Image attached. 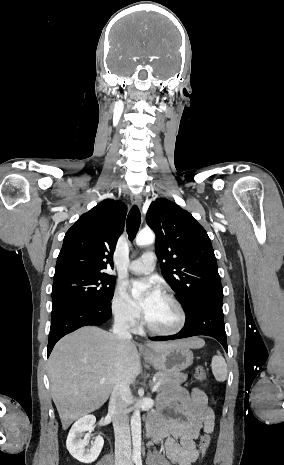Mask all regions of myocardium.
Returning <instances> with one entry per match:
<instances>
[{
    "instance_id": "myocardium-1",
    "label": "myocardium",
    "mask_w": 284,
    "mask_h": 465,
    "mask_svg": "<svg viewBox=\"0 0 284 465\" xmlns=\"http://www.w3.org/2000/svg\"><path fill=\"white\" fill-rule=\"evenodd\" d=\"M159 295L165 297L173 305V307L176 309L177 314H178V323H177V325L173 329L167 330V331L156 330L147 323V319L143 315L142 316V326L152 336L161 337V338L174 337V336L178 335L182 331V329L184 328V326L186 324V313H185L182 305L180 304V302L172 294H170V293H168L166 291H161L159 293Z\"/></svg>"
}]
</instances>
